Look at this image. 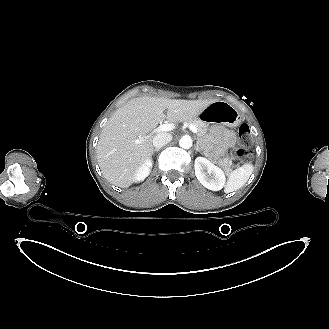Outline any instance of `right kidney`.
<instances>
[{
  "label": "right kidney",
  "mask_w": 329,
  "mask_h": 329,
  "mask_svg": "<svg viewBox=\"0 0 329 329\" xmlns=\"http://www.w3.org/2000/svg\"><path fill=\"white\" fill-rule=\"evenodd\" d=\"M153 162L151 159H147L144 164L138 169L135 175V182L143 181L150 173Z\"/></svg>",
  "instance_id": "1"
}]
</instances>
